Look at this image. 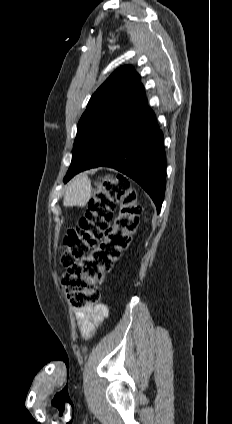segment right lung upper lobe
I'll list each match as a JSON object with an SVG mask.
<instances>
[{"label": "right lung upper lobe", "mask_w": 232, "mask_h": 424, "mask_svg": "<svg viewBox=\"0 0 232 424\" xmlns=\"http://www.w3.org/2000/svg\"><path fill=\"white\" fill-rule=\"evenodd\" d=\"M147 102L139 74L130 65L122 66L97 89L90 98L87 109L105 106L134 108Z\"/></svg>", "instance_id": "obj_1"}]
</instances>
